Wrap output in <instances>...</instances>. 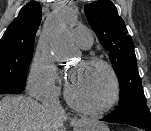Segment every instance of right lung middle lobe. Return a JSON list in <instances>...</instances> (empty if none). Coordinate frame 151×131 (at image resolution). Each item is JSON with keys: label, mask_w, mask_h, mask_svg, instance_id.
Returning a JSON list of instances; mask_svg holds the SVG:
<instances>
[{"label": "right lung middle lobe", "mask_w": 151, "mask_h": 131, "mask_svg": "<svg viewBox=\"0 0 151 131\" xmlns=\"http://www.w3.org/2000/svg\"><path fill=\"white\" fill-rule=\"evenodd\" d=\"M34 45L0 43V94H18L25 88Z\"/></svg>", "instance_id": "obj_1"}]
</instances>
